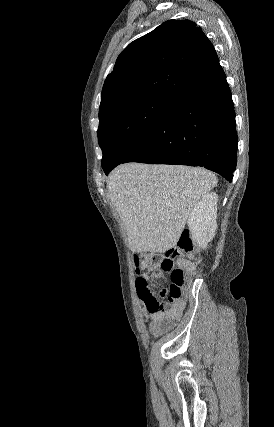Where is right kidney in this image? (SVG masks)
<instances>
[{
  "instance_id": "ca27d5eb",
  "label": "right kidney",
  "mask_w": 274,
  "mask_h": 427,
  "mask_svg": "<svg viewBox=\"0 0 274 427\" xmlns=\"http://www.w3.org/2000/svg\"><path fill=\"white\" fill-rule=\"evenodd\" d=\"M217 202L218 196L216 192L204 194L188 217L190 237L202 249H206L209 241L213 239L216 233Z\"/></svg>"
}]
</instances>
